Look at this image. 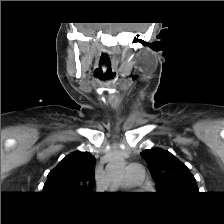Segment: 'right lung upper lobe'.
Returning <instances> with one entry per match:
<instances>
[{
    "instance_id": "cb5924a9",
    "label": "right lung upper lobe",
    "mask_w": 224,
    "mask_h": 224,
    "mask_svg": "<svg viewBox=\"0 0 224 224\" xmlns=\"http://www.w3.org/2000/svg\"><path fill=\"white\" fill-rule=\"evenodd\" d=\"M95 158L89 152L75 151L49 172L43 192L56 194H89L94 179Z\"/></svg>"
}]
</instances>
